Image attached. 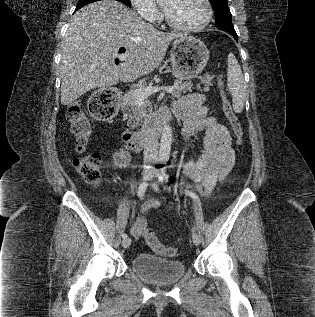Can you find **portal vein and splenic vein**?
<instances>
[{"instance_id":"portal-vein-and-splenic-vein-1","label":"portal vein and splenic vein","mask_w":315,"mask_h":317,"mask_svg":"<svg viewBox=\"0 0 315 317\" xmlns=\"http://www.w3.org/2000/svg\"><path fill=\"white\" fill-rule=\"evenodd\" d=\"M126 59V56H122V60L124 61ZM160 90H164L168 93H172L174 91V86L172 87H166V88H157V87H149L146 90H137L136 91V98L138 102H142L144 99H146L151 94L158 92Z\"/></svg>"}]
</instances>
